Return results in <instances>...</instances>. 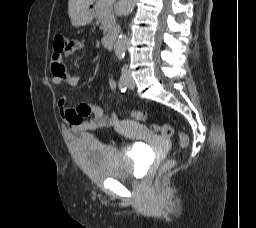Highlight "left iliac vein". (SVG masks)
I'll return each instance as SVG.
<instances>
[{
  "label": "left iliac vein",
  "instance_id": "1",
  "mask_svg": "<svg viewBox=\"0 0 256 228\" xmlns=\"http://www.w3.org/2000/svg\"><path fill=\"white\" fill-rule=\"evenodd\" d=\"M127 83H128L129 89H134L135 82H134L133 78L131 77L130 73H127Z\"/></svg>",
  "mask_w": 256,
  "mask_h": 228
}]
</instances>
